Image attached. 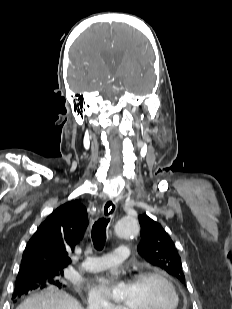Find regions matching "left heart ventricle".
I'll return each mask as SVG.
<instances>
[{"instance_id":"1","label":"left heart ventricle","mask_w":232,"mask_h":309,"mask_svg":"<svg viewBox=\"0 0 232 309\" xmlns=\"http://www.w3.org/2000/svg\"><path fill=\"white\" fill-rule=\"evenodd\" d=\"M121 299L129 309H169L173 303L167 286L155 278L130 283L123 289Z\"/></svg>"}]
</instances>
